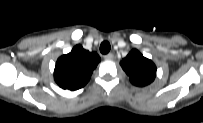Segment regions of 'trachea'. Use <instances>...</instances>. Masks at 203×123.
<instances>
[{"label":"trachea","instance_id":"3493384b","mask_svg":"<svg viewBox=\"0 0 203 123\" xmlns=\"http://www.w3.org/2000/svg\"><path fill=\"white\" fill-rule=\"evenodd\" d=\"M110 49H111V46H110L109 42L104 41V42L101 43L100 52L102 54H107L110 51Z\"/></svg>","mask_w":203,"mask_h":123}]
</instances>
